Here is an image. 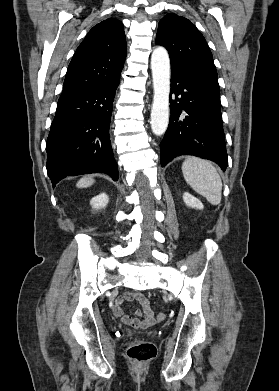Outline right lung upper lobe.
Segmentation results:
<instances>
[{
    "instance_id": "1",
    "label": "right lung upper lobe",
    "mask_w": 279,
    "mask_h": 391,
    "mask_svg": "<svg viewBox=\"0 0 279 391\" xmlns=\"http://www.w3.org/2000/svg\"><path fill=\"white\" fill-rule=\"evenodd\" d=\"M126 54L122 22L108 18L95 25L69 64L61 96L88 91L117 79Z\"/></svg>"
}]
</instances>
